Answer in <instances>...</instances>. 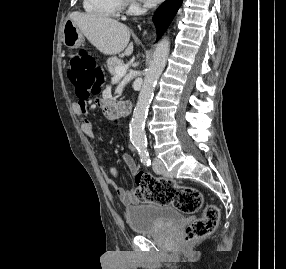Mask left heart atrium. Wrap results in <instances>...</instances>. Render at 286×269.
Returning a JSON list of instances; mask_svg holds the SVG:
<instances>
[{
	"label": "left heart atrium",
	"instance_id": "1",
	"mask_svg": "<svg viewBox=\"0 0 286 269\" xmlns=\"http://www.w3.org/2000/svg\"><path fill=\"white\" fill-rule=\"evenodd\" d=\"M141 1H143L147 5H155V4L160 3L162 0H141Z\"/></svg>",
	"mask_w": 286,
	"mask_h": 269
}]
</instances>
